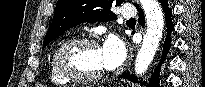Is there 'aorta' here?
I'll return each instance as SVG.
<instances>
[{
    "instance_id": "1",
    "label": "aorta",
    "mask_w": 205,
    "mask_h": 87,
    "mask_svg": "<svg viewBox=\"0 0 205 87\" xmlns=\"http://www.w3.org/2000/svg\"><path fill=\"white\" fill-rule=\"evenodd\" d=\"M147 22V30L135 61V74H144L151 64L161 41L164 29V15L157 0H140Z\"/></svg>"
}]
</instances>
